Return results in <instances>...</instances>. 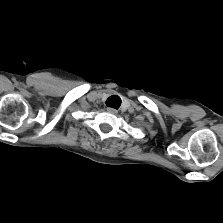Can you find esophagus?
I'll use <instances>...</instances> for the list:
<instances>
[{"instance_id":"obj_1","label":"esophagus","mask_w":223,"mask_h":223,"mask_svg":"<svg viewBox=\"0 0 223 223\" xmlns=\"http://www.w3.org/2000/svg\"><path fill=\"white\" fill-rule=\"evenodd\" d=\"M108 111L113 113V114H116L117 113V110L114 109V108H108Z\"/></svg>"}]
</instances>
